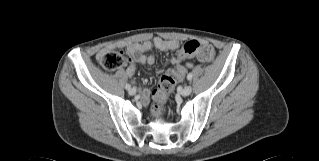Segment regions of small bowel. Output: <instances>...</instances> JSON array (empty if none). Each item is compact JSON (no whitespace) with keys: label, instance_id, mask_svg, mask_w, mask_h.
<instances>
[{"label":"small bowel","instance_id":"c3829d8e","mask_svg":"<svg viewBox=\"0 0 319 161\" xmlns=\"http://www.w3.org/2000/svg\"><path fill=\"white\" fill-rule=\"evenodd\" d=\"M202 44L207 46V42L203 41ZM114 48H124L126 53L134 58L137 62L143 64V65H153L156 62V58L154 55H145V52H148L152 48H156L161 51H178L180 49V43L175 39H163L160 37H154L152 40L143 41L140 43H134V42H127V43H120L118 45H109L102 49L101 54H104L107 51H110ZM181 60L178 57L172 58L170 63L174 66V68L181 67L182 68V74H181V80L184 79L186 74V68H192L193 63L187 62L183 66L181 64ZM136 66L132 59L129 60V65L125 71V75L128 77H132L135 73ZM150 99V92L147 89H143L141 92L140 102L142 104L148 103Z\"/></svg>","mask_w":319,"mask_h":161}]
</instances>
